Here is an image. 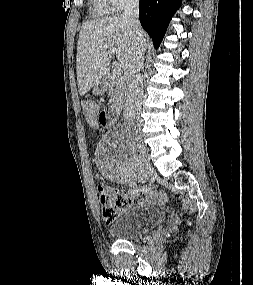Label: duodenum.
<instances>
[{"label":"duodenum","instance_id":"1","mask_svg":"<svg viewBox=\"0 0 253 285\" xmlns=\"http://www.w3.org/2000/svg\"><path fill=\"white\" fill-rule=\"evenodd\" d=\"M105 87H106V82L104 80H102L97 84L96 88L98 91H103L105 89ZM118 113H119L118 111L108 113L109 120L115 121L118 117Z\"/></svg>","mask_w":253,"mask_h":285}]
</instances>
